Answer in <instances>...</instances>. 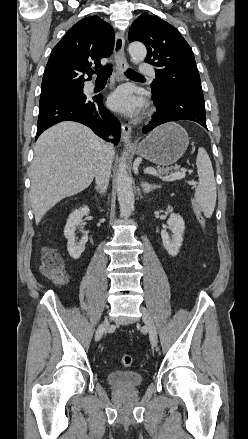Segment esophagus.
<instances>
[{"mask_svg": "<svg viewBox=\"0 0 248 439\" xmlns=\"http://www.w3.org/2000/svg\"><path fill=\"white\" fill-rule=\"evenodd\" d=\"M125 38L121 33H116L114 55L116 61V72L120 80L124 81L126 78L124 72L128 69V63L124 53ZM131 126L127 123L121 125V139L124 143L130 144Z\"/></svg>", "mask_w": 248, "mask_h": 439, "instance_id": "esophagus-1", "label": "esophagus"}]
</instances>
